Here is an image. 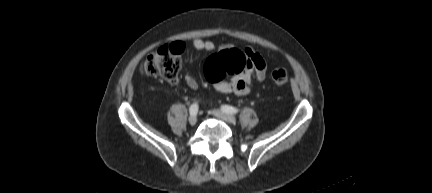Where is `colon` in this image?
I'll return each mask as SVG.
<instances>
[{
    "instance_id": "obj_1",
    "label": "colon",
    "mask_w": 432,
    "mask_h": 193,
    "mask_svg": "<svg viewBox=\"0 0 432 193\" xmlns=\"http://www.w3.org/2000/svg\"><path fill=\"white\" fill-rule=\"evenodd\" d=\"M181 44H167L151 53L141 64V71L150 76L161 77L168 82H174L182 66ZM246 54L235 48L225 49L208 58L205 63L207 78L216 83L226 76H235L248 68ZM272 81L277 86L285 85L289 81L288 72L279 68L272 72Z\"/></svg>"
}]
</instances>
